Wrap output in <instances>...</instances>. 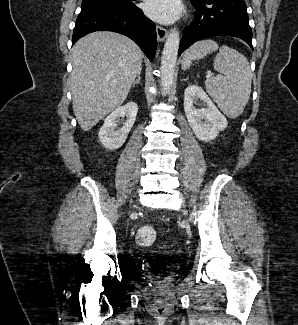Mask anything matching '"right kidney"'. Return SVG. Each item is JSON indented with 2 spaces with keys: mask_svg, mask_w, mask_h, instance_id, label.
<instances>
[{
  "mask_svg": "<svg viewBox=\"0 0 298 325\" xmlns=\"http://www.w3.org/2000/svg\"><path fill=\"white\" fill-rule=\"evenodd\" d=\"M138 106L137 102H126L124 106H118L116 110H113L109 116H106L104 124H102L99 132L98 138L102 142L105 148L113 150V148H120L124 144L137 116ZM120 116H127L124 126L115 130Z\"/></svg>",
  "mask_w": 298,
  "mask_h": 325,
  "instance_id": "right-kidney-1",
  "label": "right kidney"
}]
</instances>
